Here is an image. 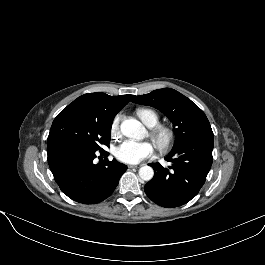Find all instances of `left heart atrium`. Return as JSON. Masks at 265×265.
I'll return each mask as SVG.
<instances>
[{
	"mask_svg": "<svg viewBox=\"0 0 265 265\" xmlns=\"http://www.w3.org/2000/svg\"><path fill=\"white\" fill-rule=\"evenodd\" d=\"M155 154L154 146L149 142H139L131 139L124 140L115 149V156L122 162L136 164Z\"/></svg>",
	"mask_w": 265,
	"mask_h": 265,
	"instance_id": "obj_1",
	"label": "left heart atrium"
}]
</instances>
